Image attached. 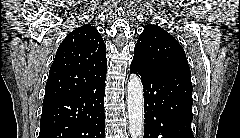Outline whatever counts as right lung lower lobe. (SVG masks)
I'll list each match as a JSON object with an SVG mask.
<instances>
[{
  "label": "right lung lower lobe",
  "mask_w": 240,
  "mask_h": 138,
  "mask_svg": "<svg viewBox=\"0 0 240 138\" xmlns=\"http://www.w3.org/2000/svg\"><path fill=\"white\" fill-rule=\"evenodd\" d=\"M105 79L89 90L44 102L38 138H104Z\"/></svg>",
  "instance_id": "obj_1"
}]
</instances>
